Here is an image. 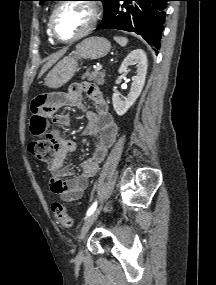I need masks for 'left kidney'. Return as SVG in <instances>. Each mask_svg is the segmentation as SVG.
Returning <instances> with one entry per match:
<instances>
[{"label":"left kidney","instance_id":"obj_1","mask_svg":"<svg viewBox=\"0 0 216 285\" xmlns=\"http://www.w3.org/2000/svg\"><path fill=\"white\" fill-rule=\"evenodd\" d=\"M131 65H136L137 72L133 78L130 93L124 98H121L119 93H114L112 96L113 107L118 116H122L128 111L144 87L148 65L147 56L142 49L131 51L122 62L118 72L126 73Z\"/></svg>","mask_w":216,"mask_h":285}]
</instances>
